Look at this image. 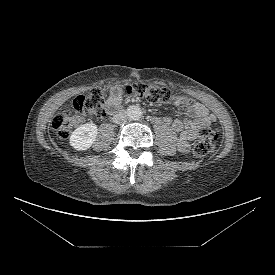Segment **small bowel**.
<instances>
[{
	"label": "small bowel",
	"mask_w": 275,
	"mask_h": 275,
	"mask_svg": "<svg viewBox=\"0 0 275 275\" xmlns=\"http://www.w3.org/2000/svg\"><path fill=\"white\" fill-rule=\"evenodd\" d=\"M122 97L118 91H113L107 101V111L109 113L117 110L121 105ZM180 103V102H177ZM215 121V116L209 109L198 102H194L189 106L187 111V118L184 120H168L172 129L179 134V148L182 151H187L190 142L193 141L198 133L200 127L204 124H210Z\"/></svg>",
	"instance_id": "small-bowel-1"
}]
</instances>
